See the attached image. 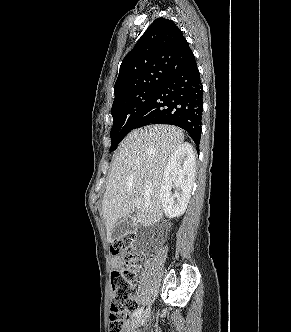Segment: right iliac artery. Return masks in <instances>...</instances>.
<instances>
[{"mask_svg": "<svg viewBox=\"0 0 291 332\" xmlns=\"http://www.w3.org/2000/svg\"><path fill=\"white\" fill-rule=\"evenodd\" d=\"M142 312H143V307H141L140 309L136 310V311L133 313V316H134V317H137V316H139Z\"/></svg>", "mask_w": 291, "mask_h": 332, "instance_id": "1", "label": "right iliac artery"}]
</instances>
